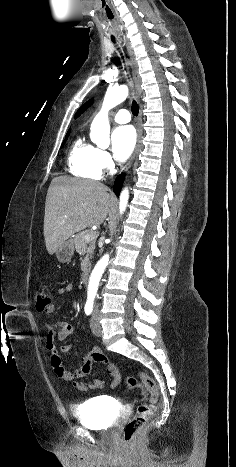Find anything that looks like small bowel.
<instances>
[{"mask_svg":"<svg viewBox=\"0 0 236 467\" xmlns=\"http://www.w3.org/2000/svg\"><path fill=\"white\" fill-rule=\"evenodd\" d=\"M72 290V284H67L65 286L60 287L57 293L60 296H64L71 293ZM58 307V303H51L44 311H42V314H51ZM45 325L48 329V333L45 339V346L50 354V362L53 367L54 373L58 378L65 381H74L75 379L86 377L93 373V367L96 363L102 362L104 363L106 371L112 377V382L110 385L111 388H116L119 385L121 381V375L116 365L110 360H108L107 357L102 361H98L93 357L95 354L101 353L98 348H93L90 351H88L82 357V365L77 369L69 370L64 366L61 354H68L71 350V345L65 344L58 348L55 342H63L67 340L73 332L82 329L80 325L68 323L62 320L53 323H45ZM73 385L79 391L101 390L104 387V382L101 379H93L88 382L74 381Z\"/></svg>","mask_w":236,"mask_h":467,"instance_id":"1","label":"small bowel"}]
</instances>
